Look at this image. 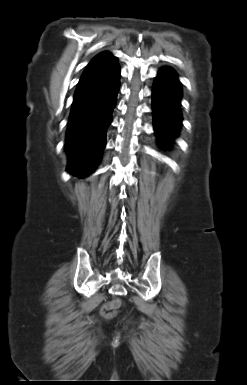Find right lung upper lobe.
Here are the masks:
<instances>
[{
	"instance_id": "cb5924a9",
	"label": "right lung upper lobe",
	"mask_w": 247,
	"mask_h": 385,
	"mask_svg": "<svg viewBox=\"0 0 247 385\" xmlns=\"http://www.w3.org/2000/svg\"><path fill=\"white\" fill-rule=\"evenodd\" d=\"M115 61L116 58L112 54H110L109 52H102L92 59V61L88 64L86 70L84 71L83 75L89 74L93 71L110 65Z\"/></svg>"
}]
</instances>
